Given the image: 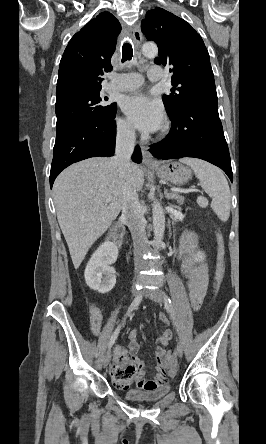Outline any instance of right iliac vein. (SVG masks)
Instances as JSON below:
<instances>
[{
    "mask_svg": "<svg viewBox=\"0 0 266 444\" xmlns=\"http://www.w3.org/2000/svg\"><path fill=\"white\" fill-rule=\"evenodd\" d=\"M132 295H133L134 297H137V296L139 295V291L137 290L136 287H133V288H132ZM110 360H111V349L109 348V349L106 351V353H105V355H104V358H103V364H104V367H106V366L109 364Z\"/></svg>",
    "mask_w": 266,
    "mask_h": 444,
    "instance_id": "1",
    "label": "right iliac vein"
}]
</instances>
